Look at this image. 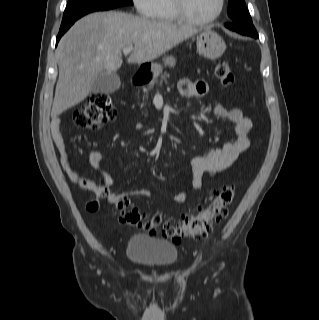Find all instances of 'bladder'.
<instances>
[{"mask_svg":"<svg viewBox=\"0 0 319 320\" xmlns=\"http://www.w3.org/2000/svg\"><path fill=\"white\" fill-rule=\"evenodd\" d=\"M126 253L132 262L152 268L172 266L178 258V250L172 242L142 234L129 237Z\"/></svg>","mask_w":319,"mask_h":320,"instance_id":"1","label":"bladder"}]
</instances>
